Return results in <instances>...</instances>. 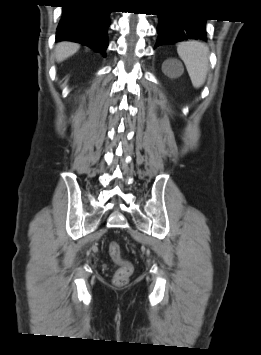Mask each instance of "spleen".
Segmentation results:
<instances>
[{"instance_id": "3e777b00", "label": "spleen", "mask_w": 261, "mask_h": 355, "mask_svg": "<svg viewBox=\"0 0 261 355\" xmlns=\"http://www.w3.org/2000/svg\"><path fill=\"white\" fill-rule=\"evenodd\" d=\"M177 52L186 66L193 86L200 88L205 82L209 66L207 45L198 41L182 42L178 45Z\"/></svg>"}]
</instances>
